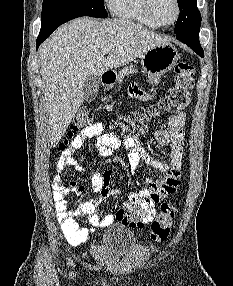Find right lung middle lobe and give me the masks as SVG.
I'll return each mask as SVG.
<instances>
[{
	"mask_svg": "<svg viewBox=\"0 0 233 286\" xmlns=\"http://www.w3.org/2000/svg\"><path fill=\"white\" fill-rule=\"evenodd\" d=\"M62 11H71L82 16L106 18L103 0H44L42 21H46Z\"/></svg>",
	"mask_w": 233,
	"mask_h": 286,
	"instance_id": "obj_1",
	"label": "right lung middle lobe"
}]
</instances>
